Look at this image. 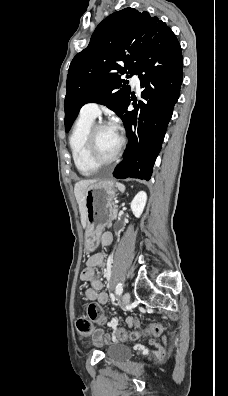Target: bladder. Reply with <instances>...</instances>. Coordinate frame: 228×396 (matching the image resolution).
I'll list each match as a JSON object with an SVG mask.
<instances>
[{
  "mask_svg": "<svg viewBox=\"0 0 228 396\" xmlns=\"http://www.w3.org/2000/svg\"><path fill=\"white\" fill-rule=\"evenodd\" d=\"M106 355L110 360L121 361L130 358L132 350L123 344H111L106 349Z\"/></svg>",
  "mask_w": 228,
  "mask_h": 396,
  "instance_id": "1",
  "label": "bladder"
}]
</instances>
